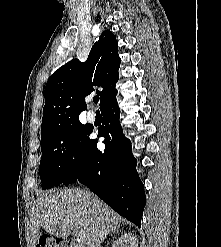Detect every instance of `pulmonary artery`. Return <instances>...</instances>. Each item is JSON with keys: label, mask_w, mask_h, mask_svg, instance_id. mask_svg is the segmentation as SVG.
Returning <instances> with one entry per match:
<instances>
[{"label": "pulmonary artery", "mask_w": 221, "mask_h": 247, "mask_svg": "<svg viewBox=\"0 0 221 247\" xmlns=\"http://www.w3.org/2000/svg\"><path fill=\"white\" fill-rule=\"evenodd\" d=\"M87 119H88V121H90V122L94 121V119H95V114H94L93 111H88V112H87Z\"/></svg>", "instance_id": "pulmonary-artery-1"}]
</instances>
